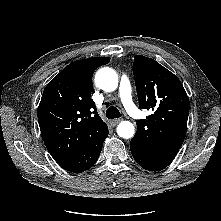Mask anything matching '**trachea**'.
<instances>
[{
  "mask_svg": "<svg viewBox=\"0 0 221 221\" xmlns=\"http://www.w3.org/2000/svg\"><path fill=\"white\" fill-rule=\"evenodd\" d=\"M120 116H121V114H120L119 110L114 106H111L106 110V117L108 119L119 118Z\"/></svg>",
  "mask_w": 221,
  "mask_h": 221,
  "instance_id": "obj_1",
  "label": "trachea"
}]
</instances>
